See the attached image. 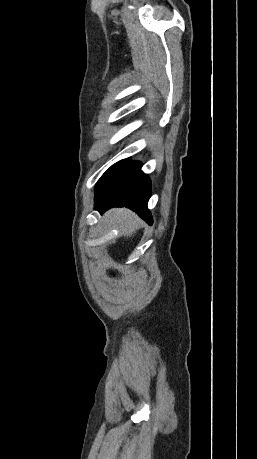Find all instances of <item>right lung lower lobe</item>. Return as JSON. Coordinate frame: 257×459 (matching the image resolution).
<instances>
[{
	"instance_id": "98d812e1",
	"label": "right lung lower lobe",
	"mask_w": 257,
	"mask_h": 459,
	"mask_svg": "<svg viewBox=\"0 0 257 459\" xmlns=\"http://www.w3.org/2000/svg\"><path fill=\"white\" fill-rule=\"evenodd\" d=\"M150 192L151 182L141 164L127 158L111 166L97 182L95 209L103 213L111 207L127 206L152 224L147 209Z\"/></svg>"
}]
</instances>
